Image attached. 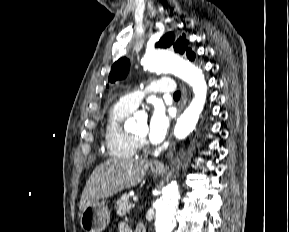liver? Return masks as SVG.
Segmentation results:
<instances>
[{
	"mask_svg": "<svg viewBox=\"0 0 289 232\" xmlns=\"http://www.w3.org/2000/svg\"><path fill=\"white\" fill-rule=\"evenodd\" d=\"M151 163L139 159H109L90 175L82 192L79 209L138 185Z\"/></svg>",
	"mask_w": 289,
	"mask_h": 232,
	"instance_id": "1",
	"label": "liver"
}]
</instances>
